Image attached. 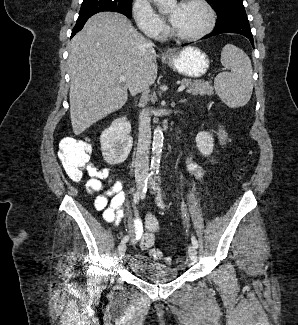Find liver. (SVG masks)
<instances>
[{
	"instance_id": "6515ba94",
	"label": "liver",
	"mask_w": 298,
	"mask_h": 325,
	"mask_svg": "<svg viewBox=\"0 0 298 325\" xmlns=\"http://www.w3.org/2000/svg\"><path fill=\"white\" fill-rule=\"evenodd\" d=\"M156 50L119 12H97L69 44L70 116L74 134L119 110L154 84ZM119 76H126L119 82Z\"/></svg>"
}]
</instances>
